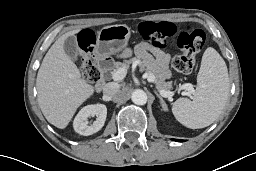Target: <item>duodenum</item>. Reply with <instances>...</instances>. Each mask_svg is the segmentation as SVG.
<instances>
[{"label":"duodenum","mask_w":256,"mask_h":171,"mask_svg":"<svg viewBox=\"0 0 256 171\" xmlns=\"http://www.w3.org/2000/svg\"><path fill=\"white\" fill-rule=\"evenodd\" d=\"M96 64L100 69L101 77L98 80L95 88H96V91L100 92L103 89L104 83H105L103 74L113 66V60L109 57H101L97 59Z\"/></svg>","instance_id":"410a0bca"}]
</instances>
